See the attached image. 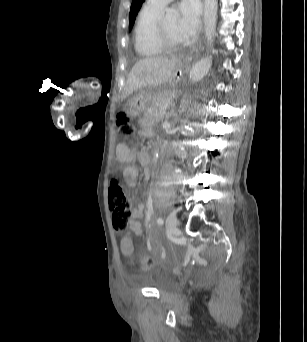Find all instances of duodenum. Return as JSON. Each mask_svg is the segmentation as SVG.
I'll return each mask as SVG.
<instances>
[{"label": "duodenum", "mask_w": 307, "mask_h": 342, "mask_svg": "<svg viewBox=\"0 0 307 342\" xmlns=\"http://www.w3.org/2000/svg\"><path fill=\"white\" fill-rule=\"evenodd\" d=\"M142 164H143V166L145 168H148V165H149V156H148V154H147V158L145 157V158L142 159Z\"/></svg>", "instance_id": "duodenum-1"}]
</instances>
